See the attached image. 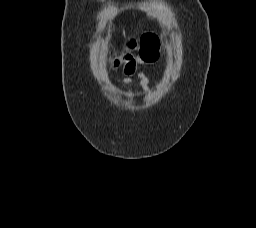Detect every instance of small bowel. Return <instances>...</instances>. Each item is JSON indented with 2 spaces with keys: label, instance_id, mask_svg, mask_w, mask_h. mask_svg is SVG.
Listing matches in <instances>:
<instances>
[{
  "label": "small bowel",
  "instance_id": "c3829d8e",
  "mask_svg": "<svg viewBox=\"0 0 256 228\" xmlns=\"http://www.w3.org/2000/svg\"><path fill=\"white\" fill-rule=\"evenodd\" d=\"M153 61L145 58L141 54H125L114 61V66L123 67L125 77L122 81L124 83H131L136 79L140 83L143 92L148 93L150 91L149 79L144 73L137 72L136 68L138 65L149 64Z\"/></svg>",
  "mask_w": 256,
  "mask_h": 228
}]
</instances>
